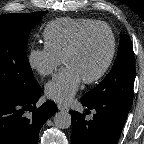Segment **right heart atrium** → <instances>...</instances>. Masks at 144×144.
<instances>
[{"mask_svg":"<svg viewBox=\"0 0 144 144\" xmlns=\"http://www.w3.org/2000/svg\"><path fill=\"white\" fill-rule=\"evenodd\" d=\"M27 62L39 75L49 76L61 64L62 58L44 45L43 47H31L27 54Z\"/></svg>","mask_w":144,"mask_h":144,"instance_id":"d8ad5b80","label":"right heart atrium"}]
</instances>
